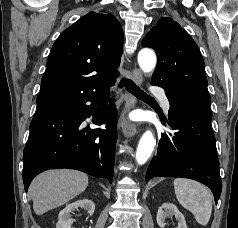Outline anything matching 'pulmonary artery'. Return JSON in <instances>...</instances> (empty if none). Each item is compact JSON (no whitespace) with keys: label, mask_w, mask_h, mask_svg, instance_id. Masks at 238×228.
I'll use <instances>...</instances> for the list:
<instances>
[{"label":"pulmonary artery","mask_w":238,"mask_h":228,"mask_svg":"<svg viewBox=\"0 0 238 228\" xmlns=\"http://www.w3.org/2000/svg\"><path fill=\"white\" fill-rule=\"evenodd\" d=\"M151 92L154 94L162 95V90L158 87H152ZM161 99H162L164 110L166 112H168L170 109V103H169L168 99L164 95L161 96Z\"/></svg>","instance_id":"pulmonary-artery-1"}]
</instances>
